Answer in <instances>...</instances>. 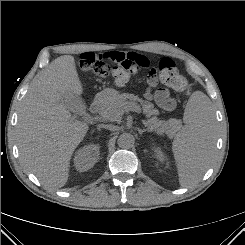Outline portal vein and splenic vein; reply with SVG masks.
Returning a JSON list of instances; mask_svg holds the SVG:
<instances>
[{
  "label": "portal vein and splenic vein",
  "instance_id": "1",
  "mask_svg": "<svg viewBox=\"0 0 245 245\" xmlns=\"http://www.w3.org/2000/svg\"><path fill=\"white\" fill-rule=\"evenodd\" d=\"M127 111H135V112H138L139 109H137V108H130V109H128Z\"/></svg>",
  "mask_w": 245,
  "mask_h": 245
}]
</instances>
